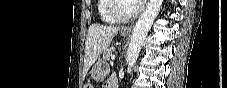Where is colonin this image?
I'll return each mask as SVG.
<instances>
[{
  "instance_id": "obj_1",
  "label": "colon",
  "mask_w": 227,
  "mask_h": 88,
  "mask_svg": "<svg viewBox=\"0 0 227 88\" xmlns=\"http://www.w3.org/2000/svg\"><path fill=\"white\" fill-rule=\"evenodd\" d=\"M85 87H86V88H91V86H90L89 84H88V85H86Z\"/></svg>"
}]
</instances>
